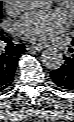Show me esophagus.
<instances>
[{
    "label": "esophagus",
    "mask_w": 74,
    "mask_h": 122,
    "mask_svg": "<svg viewBox=\"0 0 74 122\" xmlns=\"http://www.w3.org/2000/svg\"><path fill=\"white\" fill-rule=\"evenodd\" d=\"M45 48H46V46L42 45V44L27 45L26 46L27 50H36V51H41V50H44Z\"/></svg>",
    "instance_id": "esophagus-1"
}]
</instances>
